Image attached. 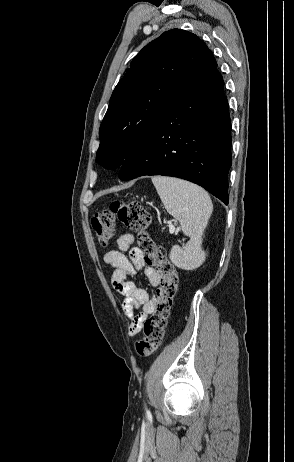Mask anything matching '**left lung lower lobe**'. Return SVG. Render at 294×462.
<instances>
[{
	"instance_id": "left-lung-lower-lobe-1",
	"label": "left lung lower lobe",
	"mask_w": 294,
	"mask_h": 462,
	"mask_svg": "<svg viewBox=\"0 0 294 462\" xmlns=\"http://www.w3.org/2000/svg\"><path fill=\"white\" fill-rule=\"evenodd\" d=\"M217 68L181 91L123 162L119 178L163 175L196 183L226 205L231 122Z\"/></svg>"
}]
</instances>
